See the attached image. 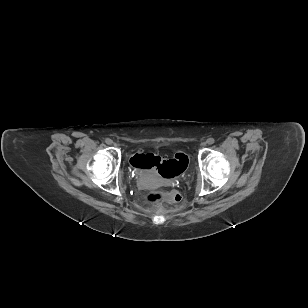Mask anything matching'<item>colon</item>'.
<instances>
[{
	"mask_svg": "<svg viewBox=\"0 0 308 308\" xmlns=\"http://www.w3.org/2000/svg\"><path fill=\"white\" fill-rule=\"evenodd\" d=\"M133 166L141 169L156 168L161 176L165 178H173L181 174L188 165V158L183 153H176L174 159H161L154 154H136L132 159ZM148 203H160L167 201L170 203H179L181 201V194L177 190L168 191H154L146 196Z\"/></svg>",
	"mask_w": 308,
	"mask_h": 308,
	"instance_id": "obj_1",
	"label": "colon"
}]
</instances>
